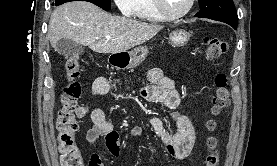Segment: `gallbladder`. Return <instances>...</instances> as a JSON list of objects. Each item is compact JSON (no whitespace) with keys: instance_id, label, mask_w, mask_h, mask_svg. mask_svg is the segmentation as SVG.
<instances>
[{"instance_id":"obj_1","label":"gallbladder","mask_w":277,"mask_h":166,"mask_svg":"<svg viewBox=\"0 0 277 166\" xmlns=\"http://www.w3.org/2000/svg\"><path fill=\"white\" fill-rule=\"evenodd\" d=\"M56 51L65 56H78L84 53V47L70 39H62L58 41Z\"/></svg>"}]
</instances>
